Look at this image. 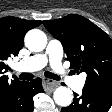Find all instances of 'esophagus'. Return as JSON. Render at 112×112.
Instances as JSON below:
<instances>
[{
	"label": "esophagus",
	"instance_id": "1",
	"mask_svg": "<svg viewBox=\"0 0 112 112\" xmlns=\"http://www.w3.org/2000/svg\"><path fill=\"white\" fill-rule=\"evenodd\" d=\"M43 85L46 91L52 92L59 85V83L51 79L43 78Z\"/></svg>",
	"mask_w": 112,
	"mask_h": 112
}]
</instances>
